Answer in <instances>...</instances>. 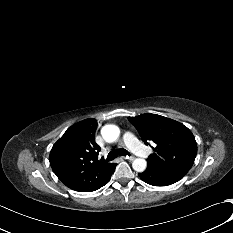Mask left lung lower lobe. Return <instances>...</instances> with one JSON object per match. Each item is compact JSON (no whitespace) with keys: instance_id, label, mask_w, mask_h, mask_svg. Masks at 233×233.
Returning <instances> with one entry per match:
<instances>
[{"instance_id":"obj_1","label":"left lung lower lobe","mask_w":233,"mask_h":233,"mask_svg":"<svg viewBox=\"0 0 233 233\" xmlns=\"http://www.w3.org/2000/svg\"><path fill=\"white\" fill-rule=\"evenodd\" d=\"M138 175L144 182L153 186H168L178 181L151 166H147L146 170Z\"/></svg>"}]
</instances>
